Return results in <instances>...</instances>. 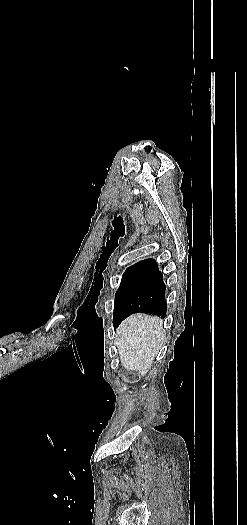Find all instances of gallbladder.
Instances as JSON below:
<instances>
[{
	"label": "gallbladder",
	"instance_id": "1",
	"mask_svg": "<svg viewBox=\"0 0 247 525\" xmlns=\"http://www.w3.org/2000/svg\"><path fill=\"white\" fill-rule=\"evenodd\" d=\"M121 372H122V374H119V377H123V374H124V375L129 374L130 369H129V367L124 366V367H122Z\"/></svg>",
	"mask_w": 247,
	"mask_h": 525
}]
</instances>
